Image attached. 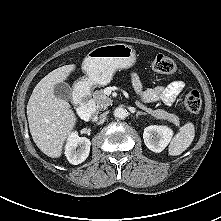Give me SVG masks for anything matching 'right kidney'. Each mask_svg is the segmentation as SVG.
<instances>
[{
    "label": "right kidney",
    "instance_id": "ca27d5eb",
    "mask_svg": "<svg viewBox=\"0 0 221 221\" xmlns=\"http://www.w3.org/2000/svg\"><path fill=\"white\" fill-rule=\"evenodd\" d=\"M91 142L86 137H79L76 132H72L65 146L67 160L74 165L81 164L89 156Z\"/></svg>",
    "mask_w": 221,
    "mask_h": 221
}]
</instances>
